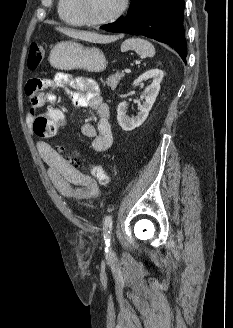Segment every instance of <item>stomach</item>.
Here are the masks:
<instances>
[{"mask_svg":"<svg viewBox=\"0 0 233 328\" xmlns=\"http://www.w3.org/2000/svg\"><path fill=\"white\" fill-rule=\"evenodd\" d=\"M49 62L59 70L83 69L88 72H101L107 64L98 48L73 41L57 43L50 52Z\"/></svg>","mask_w":233,"mask_h":328,"instance_id":"stomach-1","label":"stomach"}]
</instances>
